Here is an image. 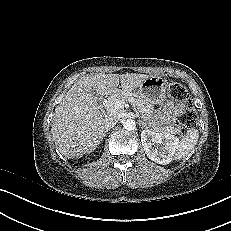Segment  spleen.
<instances>
[{
  "instance_id": "1",
  "label": "spleen",
  "mask_w": 231,
  "mask_h": 231,
  "mask_svg": "<svg viewBox=\"0 0 231 231\" xmlns=\"http://www.w3.org/2000/svg\"><path fill=\"white\" fill-rule=\"evenodd\" d=\"M199 139V131L195 128L189 129L175 148L174 159L180 160L187 156L196 146Z\"/></svg>"
}]
</instances>
